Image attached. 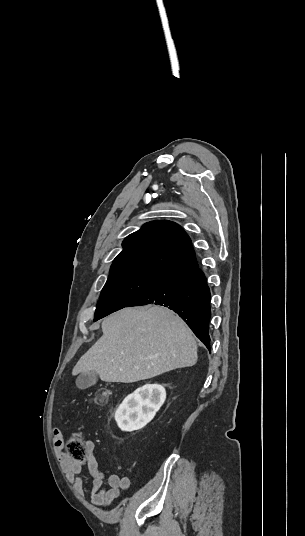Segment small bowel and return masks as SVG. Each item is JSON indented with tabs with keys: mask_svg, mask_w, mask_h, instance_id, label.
Listing matches in <instances>:
<instances>
[{
	"mask_svg": "<svg viewBox=\"0 0 305 536\" xmlns=\"http://www.w3.org/2000/svg\"><path fill=\"white\" fill-rule=\"evenodd\" d=\"M51 437L53 446L60 464L69 481L79 494L84 491V478L82 476L83 462L74 457L72 453L64 452L63 439L60 431L53 427ZM86 465L93 477L91 485V501L93 504L108 507L115 501L122 490L130 487V479L122 474H113L108 477L107 486H103L104 474L99 469L98 461L93 453L92 443H88L86 452Z\"/></svg>",
	"mask_w": 305,
	"mask_h": 536,
	"instance_id": "small-bowel-1",
	"label": "small bowel"
}]
</instances>
